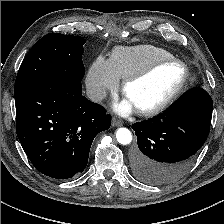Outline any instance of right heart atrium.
I'll use <instances>...</instances> for the list:
<instances>
[{
    "instance_id": "obj_1",
    "label": "right heart atrium",
    "mask_w": 224,
    "mask_h": 224,
    "mask_svg": "<svg viewBox=\"0 0 224 224\" xmlns=\"http://www.w3.org/2000/svg\"><path fill=\"white\" fill-rule=\"evenodd\" d=\"M86 87L94 101H101L108 91L119 87V78L114 73L110 61L98 57L90 66L86 76Z\"/></svg>"
}]
</instances>
